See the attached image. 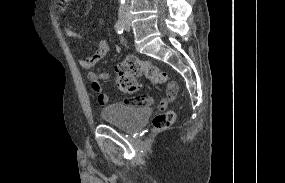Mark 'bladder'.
<instances>
[{"mask_svg":"<svg viewBox=\"0 0 285 183\" xmlns=\"http://www.w3.org/2000/svg\"><path fill=\"white\" fill-rule=\"evenodd\" d=\"M151 114L149 106H133L125 103H112L101 110L105 122L131 130L141 125Z\"/></svg>","mask_w":285,"mask_h":183,"instance_id":"1","label":"bladder"}]
</instances>
